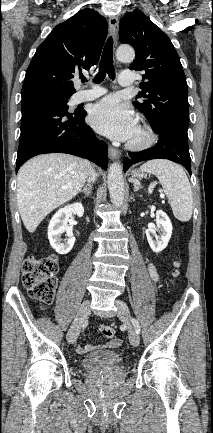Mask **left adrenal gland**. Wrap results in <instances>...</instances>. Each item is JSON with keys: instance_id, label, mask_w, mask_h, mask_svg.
Listing matches in <instances>:
<instances>
[{"instance_id": "obj_1", "label": "left adrenal gland", "mask_w": 213, "mask_h": 433, "mask_svg": "<svg viewBox=\"0 0 213 433\" xmlns=\"http://www.w3.org/2000/svg\"><path fill=\"white\" fill-rule=\"evenodd\" d=\"M141 186L139 184H134V192H137Z\"/></svg>"}]
</instances>
